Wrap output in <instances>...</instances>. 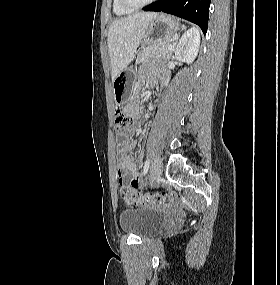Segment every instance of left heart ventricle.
Returning <instances> with one entry per match:
<instances>
[{
    "mask_svg": "<svg viewBox=\"0 0 280 285\" xmlns=\"http://www.w3.org/2000/svg\"><path fill=\"white\" fill-rule=\"evenodd\" d=\"M130 1H132L133 3H136V4H140V3L145 2L146 0H130Z\"/></svg>",
    "mask_w": 280,
    "mask_h": 285,
    "instance_id": "left-heart-ventricle-1",
    "label": "left heart ventricle"
}]
</instances>
